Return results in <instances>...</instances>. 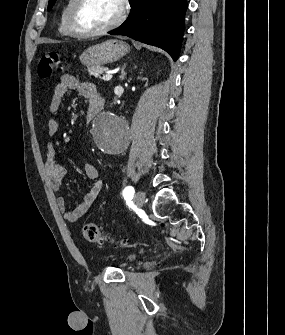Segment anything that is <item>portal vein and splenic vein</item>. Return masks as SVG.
Here are the masks:
<instances>
[{
    "instance_id": "obj_1",
    "label": "portal vein and splenic vein",
    "mask_w": 285,
    "mask_h": 335,
    "mask_svg": "<svg viewBox=\"0 0 285 335\" xmlns=\"http://www.w3.org/2000/svg\"><path fill=\"white\" fill-rule=\"evenodd\" d=\"M113 78L111 72H105V76H103L102 80H111Z\"/></svg>"
}]
</instances>
